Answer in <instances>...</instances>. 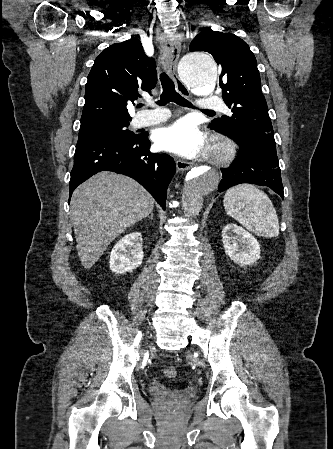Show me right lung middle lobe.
Returning <instances> with one entry per match:
<instances>
[{
  "label": "right lung middle lobe",
  "instance_id": "dd1d6c3e",
  "mask_svg": "<svg viewBox=\"0 0 333 449\" xmlns=\"http://www.w3.org/2000/svg\"><path fill=\"white\" fill-rule=\"evenodd\" d=\"M129 122H108L80 128L78 141L94 138L137 139L140 135L134 134L127 129Z\"/></svg>",
  "mask_w": 333,
  "mask_h": 449
}]
</instances>
